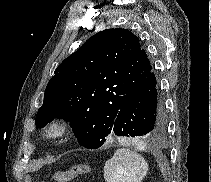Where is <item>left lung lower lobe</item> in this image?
I'll return each mask as SVG.
<instances>
[{"label": "left lung lower lobe", "instance_id": "1", "mask_svg": "<svg viewBox=\"0 0 211 182\" xmlns=\"http://www.w3.org/2000/svg\"><path fill=\"white\" fill-rule=\"evenodd\" d=\"M167 115L153 68L117 114L111 134L153 141L166 130Z\"/></svg>", "mask_w": 211, "mask_h": 182}]
</instances>
